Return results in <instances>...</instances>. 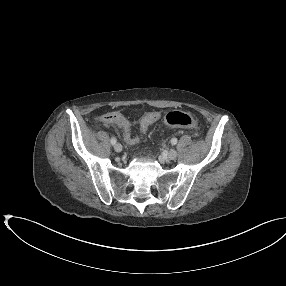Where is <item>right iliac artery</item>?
Masks as SVG:
<instances>
[{
  "instance_id": "82829eb1",
  "label": "right iliac artery",
  "mask_w": 286,
  "mask_h": 286,
  "mask_svg": "<svg viewBox=\"0 0 286 286\" xmlns=\"http://www.w3.org/2000/svg\"><path fill=\"white\" fill-rule=\"evenodd\" d=\"M110 142H111L112 145H115L116 144V139L114 137H112Z\"/></svg>"
}]
</instances>
